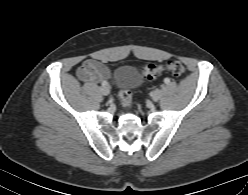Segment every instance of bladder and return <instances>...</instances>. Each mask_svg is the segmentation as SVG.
Segmentation results:
<instances>
[{
	"label": "bladder",
	"instance_id": "31cf9c89",
	"mask_svg": "<svg viewBox=\"0 0 248 195\" xmlns=\"http://www.w3.org/2000/svg\"><path fill=\"white\" fill-rule=\"evenodd\" d=\"M140 82V74L136 67L123 65L116 70L115 83L118 88L131 90L136 88Z\"/></svg>",
	"mask_w": 248,
	"mask_h": 195
}]
</instances>
